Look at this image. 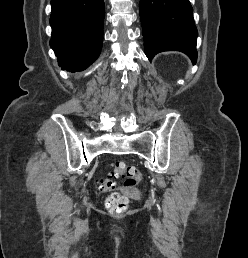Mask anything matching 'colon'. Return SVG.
<instances>
[{"mask_svg": "<svg viewBox=\"0 0 248 258\" xmlns=\"http://www.w3.org/2000/svg\"><path fill=\"white\" fill-rule=\"evenodd\" d=\"M118 178H123L124 186L131 188L142 180V173L133 165L117 161L112 165L110 172L100 179V187L104 190H111L115 187ZM106 205L110 212L122 213L128 209L129 201L119 193H112L107 198Z\"/></svg>", "mask_w": 248, "mask_h": 258, "instance_id": "obj_1", "label": "colon"}]
</instances>
